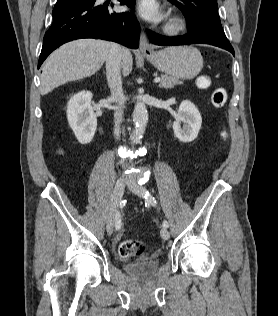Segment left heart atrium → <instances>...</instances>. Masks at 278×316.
<instances>
[{"label": "left heart atrium", "instance_id": "obj_1", "mask_svg": "<svg viewBox=\"0 0 278 316\" xmlns=\"http://www.w3.org/2000/svg\"><path fill=\"white\" fill-rule=\"evenodd\" d=\"M139 12L149 21H159L162 18V11L156 0H140Z\"/></svg>", "mask_w": 278, "mask_h": 316}]
</instances>
